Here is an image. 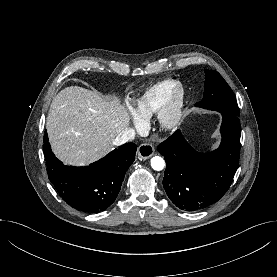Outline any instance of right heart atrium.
<instances>
[{"label":"right heart atrium","mask_w":277,"mask_h":277,"mask_svg":"<svg viewBox=\"0 0 277 277\" xmlns=\"http://www.w3.org/2000/svg\"><path fill=\"white\" fill-rule=\"evenodd\" d=\"M135 119H136V123L140 124V122H141L140 119H138V118H135Z\"/></svg>","instance_id":"obj_1"}]
</instances>
